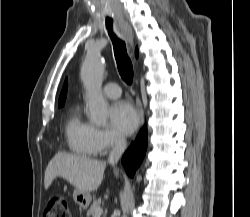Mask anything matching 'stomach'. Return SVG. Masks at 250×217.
Returning a JSON list of instances; mask_svg holds the SVG:
<instances>
[{
    "instance_id": "stomach-1",
    "label": "stomach",
    "mask_w": 250,
    "mask_h": 217,
    "mask_svg": "<svg viewBox=\"0 0 250 217\" xmlns=\"http://www.w3.org/2000/svg\"><path fill=\"white\" fill-rule=\"evenodd\" d=\"M73 199L80 208L87 209L92 200V197L90 192L75 190L73 193Z\"/></svg>"
}]
</instances>
